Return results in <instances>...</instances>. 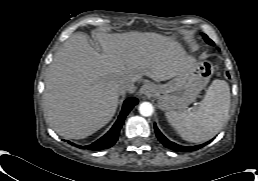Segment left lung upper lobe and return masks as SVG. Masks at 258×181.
Listing matches in <instances>:
<instances>
[{
  "label": "left lung upper lobe",
  "instance_id": "5c2ea615",
  "mask_svg": "<svg viewBox=\"0 0 258 181\" xmlns=\"http://www.w3.org/2000/svg\"><path fill=\"white\" fill-rule=\"evenodd\" d=\"M205 41L208 43V44H211V45H214L213 41L211 39H209L205 34H202Z\"/></svg>",
  "mask_w": 258,
  "mask_h": 181
}]
</instances>
